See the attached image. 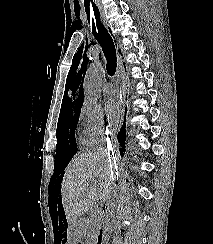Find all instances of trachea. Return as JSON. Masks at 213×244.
Here are the masks:
<instances>
[{
  "label": "trachea",
  "mask_w": 213,
  "mask_h": 244,
  "mask_svg": "<svg viewBox=\"0 0 213 244\" xmlns=\"http://www.w3.org/2000/svg\"><path fill=\"white\" fill-rule=\"evenodd\" d=\"M87 18L90 24L92 23L93 35L102 47L103 53L105 55L107 64V73L113 76L117 68V57L116 49L112 37L102 24L100 20V13L98 7H94L90 10L89 7L86 9Z\"/></svg>",
  "instance_id": "obj_1"
}]
</instances>
